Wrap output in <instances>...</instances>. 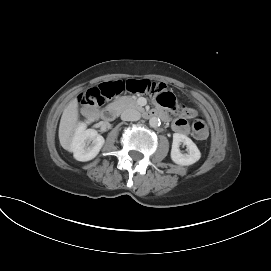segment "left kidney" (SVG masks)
Wrapping results in <instances>:
<instances>
[{"label": "left kidney", "mask_w": 271, "mask_h": 271, "mask_svg": "<svg viewBox=\"0 0 271 271\" xmlns=\"http://www.w3.org/2000/svg\"><path fill=\"white\" fill-rule=\"evenodd\" d=\"M183 143L187 147L188 153H181L179 146ZM201 157V153L196 144L186 135L174 133L171 149V159L174 163L182 166L192 165Z\"/></svg>", "instance_id": "5707ae66"}]
</instances>
